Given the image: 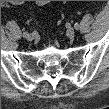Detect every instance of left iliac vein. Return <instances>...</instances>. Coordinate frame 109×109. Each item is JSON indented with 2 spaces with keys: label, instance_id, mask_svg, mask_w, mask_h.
Returning a JSON list of instances; mask_svg holds the SVG:
<instances>
[{
  "label": "left iliac vein",
  "instance_id": "left-iliac-vein-1",
  "mask_svg": "<svg viewBox=\"0 0 109 109\" xmlns=\"http://www.w3.org/2000/svg\"><path fill=\"white\" fill-rule=\"evenodd\" d=\"M67 35L70 38H74V36H75V30L72 27H68L67 28Z\"/></svg>",
  "mask_w": 109,
  "mask_h": 109
}]
</instances>
